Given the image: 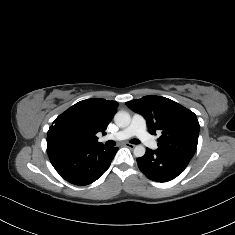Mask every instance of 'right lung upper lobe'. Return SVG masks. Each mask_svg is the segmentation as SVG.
I'll use <instances>...</instances> for the list:
<instances>
[{
    "instance_id": "obj_1",
    "label": "right lung upper lobe",
    "mask_w": 235,
    "mask_h": 235,
    "mask_svg": "<svg viewBox=\"0 0 235 235\" xmlns=\"http://www.w3.org/2000/svg\"><path fill=\"white\" fill-rule=\"evenodd\" d=\"M118 103L105 99H87L59 115L47 133V146H98L96 134L105 130L117 112Z\"/></svg>"
}]
</instances>
